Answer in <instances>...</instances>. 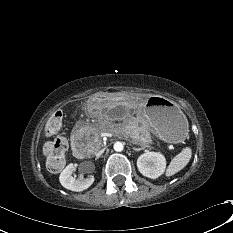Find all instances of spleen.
I'll return each instance as SVG.
<instances>
[{
	"mask_svg": "<svg viewBox=\"0 0 233 233\" xmlns=\"http://www.w3.org/2000/svg\"><path fill=\"white\" fill-rule=\"evenodd\" d=\"M192 156V150L189 147L184 148L178 155H176L170 162L166 176L170 177L180 170H182L190 161Z\"/></svg>",
	"mask_w": 233,
	"mask_h": 233,
	"instance_id": "1",
	"label": "spleen"
}]
</instances>
